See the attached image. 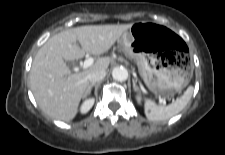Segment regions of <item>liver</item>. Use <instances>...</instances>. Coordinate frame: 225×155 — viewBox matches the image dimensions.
<instances>
[{"label": "liver", "instance_id": "1", "mask_svg": "<svg viewBox=\"0 0 225 155\" xmlns=\"http://www.w3.org/2000/svg\"><path fill=\"white\" fill-rule=\"evenodd\" d=\"M132 25L80 26L48 39L37 52L30 71V87L39 108L53 119H74L81 99L86 97L88 74L96 69L106 70L110 59L99 58L93 65L75 74H71L65 60L108 52Z\"/></svg>", "mask_w": 225, "mask_h": 155}]
</instances>
